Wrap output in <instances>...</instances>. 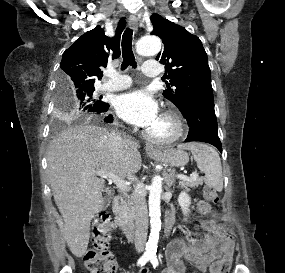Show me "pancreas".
I'll return each instance as SVG.
<instances>
[{
  "label": "pancreas",
  "mask_w": 285,
  "mask_h": 273,
  "mask_svg": "<svg viewBox=\"0 0 285 273\" xmlns=\"http://www.w3.org/2000/svg\"><path fill=\"white\" fill-rule=\"evenodd\" d=\"M203 183V179L202 178H196L194 180H181L179 182V186L181 188H184L186 191H189V187L190 188H196L198 187L199 185H202ZM130 212L133 213L134 212V207H133V203H131V206H130Z\"/></svg>",
  "instance_id": "pancreas-1"
}]
</instances>
